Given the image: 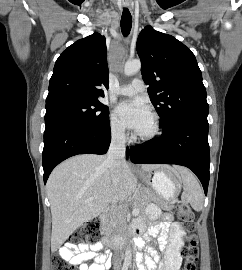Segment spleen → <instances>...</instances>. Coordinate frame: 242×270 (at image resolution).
<instances>
[{
  "instance_id": "1",
  "label": "spleen",
  "mask_w": 242,
  "mask_h": 270,
  "mask_svg": "<svg viewBox=\"0 0 242 270\" xmlns=\"http://www.w3.org/2000/svg\"><path fill=\"white\" fill-rule=\"evenodd\" d=\"M183 181L182 200L190 203L196 211H201L203 208L204 195L202 188L195 176L184 167H176Z\"/></svg>"
}]
</instances>
